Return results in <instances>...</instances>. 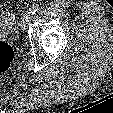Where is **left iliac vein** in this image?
<instances>
[{
	"instance_id": "left-iliac-vein-1",
	"label": "left iliac vein",
	"mask_w": 113,
	"mask_h": 113,
	"mask_svg": "<svg viewBox=\"0 0 113 113\" xmlns=\"http://www.w3.org/2000/svg\"><path fill=\"white\" fill-rule=\"evenodd\" d=\"M32 17L31 11H26L21 18V29L26 30V26Z\"/></svg>"
}]
</instances>
